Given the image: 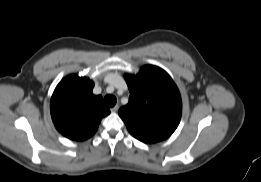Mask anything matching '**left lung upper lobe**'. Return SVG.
Returning a JSON list of instances; mask_svg holds the SVG:
<instances>
[{"label":"left lung upper lobe","instance_id":"1","mask_svg":"<svg viewBox=\"0 0 261 182\" xmlns=\"http://www.w3.org/2000/svg\"><path fill=\"white\" fill-rule=\"evenodd\" d=\"M130 91L129 102L119 116L129 132L144 143L168 138L177 128L182 101L179 90L163 69L145 65L135 75H125Z\"/></svg>","mask_w":261,"mask_h":182}]
</instances>
